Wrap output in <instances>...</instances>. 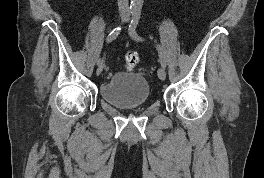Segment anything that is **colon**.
Masks as SVG:
<instances>
[{
    "label": "colon",
    "instance_id": "obj_1",
    "mask_svg": "<svg viewBox=\"0 0 264 178\" xmlns=\"http://www.w3.org/2000/svg\"><path fill=\"white\" fill-rule=\"evenodd\" d=\"M125 67L128 70H133L139 63V55L134 51H129L124 57Z\"/></svg>",
    "mask_w": 264,
    "mask_h": 178
}]
</instances>
